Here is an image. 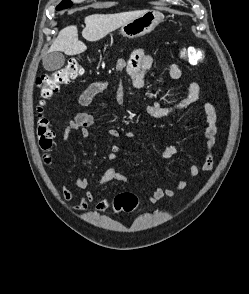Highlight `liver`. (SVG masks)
<instances>
[{
    "label": "liver",
    "mask_w": 249,
    "mask_h": 294,
    "mask_svg": "<svg viewBox=\"0 0 249 294\" xmlns=\"http://www.w3.org/2000/svg\"><path fill=\"white\" fill-rule=\"evenodd\" d=\"M146 10L129 11L115 14H93L85 18V28L82 36L88 41H98L119 27L126 25L140 17ZM87 46L78 39V30L75 25L62 29L52 43L49 53L58 51L67 55L83 53Z\"/></svg>",
    "instance_id": "1"
}]
</instances>
